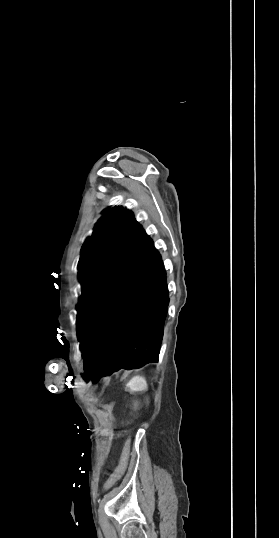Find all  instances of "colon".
Returning <instances> with one entry per match:
<instances>
[{
	"label": "colon",
	"mask_w": 279,
	"mask_h": 538,
	"mask_svg": "<svg viewBox=\"0 0 279 538\" xmlns=\"http://www.w3.org/2000/svg\"><path fill=\"white\" fill-rule=\"evenodd\" d=\"M131 445H132L131 439L128 438L124 443L119 463L116 469L114 470L113 474L110 476V478L107 480L105 484L106 490H109L111 487H113L124 475L126 468L128 466L129 459H130Z\"/></svg>",
	"instance_id": "1"
}]
</instances>
